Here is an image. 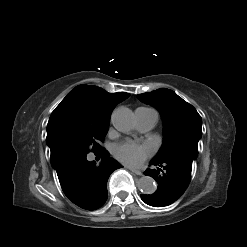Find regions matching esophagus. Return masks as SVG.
<instances>
[{
    "label": "esophagus",
    "instance_id": "obj_1",
    "mask_svg": "<svg viewBox=\"0 0 247 247\" xmlns=\"http://www.w3.org/2000/svg\"><path fill=\"white\" fill-rule=\"evenodd\" d=\"M129 170H130L131 172L135 173L136 175H139V176L142 175V172L139 171V170H136V169H133V168H129Z\"/></svg>",
    "mask_w": 247,
    "mask_h": 247
}]
</instances>
